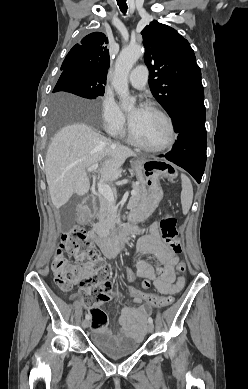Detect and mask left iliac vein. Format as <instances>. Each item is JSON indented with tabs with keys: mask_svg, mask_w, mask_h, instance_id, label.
<instances>
[{
	"mask_svg": "<svg viewBox=\"0 0 248 389\" xmlns=\"http://www.w3.org/2000/svg\"><path fill=\"white\" fill-rule=\"evenodd\" d=\"M147 330L149 333H153L154 332V325L149 323L148 326H147Z\"/></svg>",
	"mask_w": 248,
	"mask_h": 389,
	"instance_id": "4c4485c4",
	"label": "left iliac vein"
}]
</instances>
